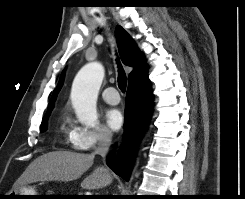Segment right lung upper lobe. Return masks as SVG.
Listing matches in <instances>:
<instances>
[{"label": "right lung upper lobe", "instance_id": "cb5924a9", "mask_svg": "<svg viewBox=\"0 0 245 199\" xmlns=\"http://www.w3.org/2000/svg\"><path fill=\"white\" fill-rule=\"evenodd\" d=\"M116 40L119 49V54L123 63L127 66L134 67L133 71L128 77V86L143 85L149 82L147 75V66L142 53L139 51L130 35L121 27H116ZM64 71L62 72L58 85L54 89L52 97L49 101V106L45 116L51 114L56 101V97L64 82ZM44 116V117H45Z\"/></svg>", "mask_w": 245, "mask_h": 199}]
</instances>
